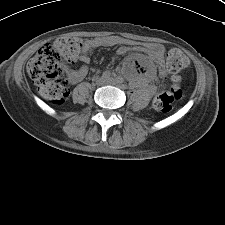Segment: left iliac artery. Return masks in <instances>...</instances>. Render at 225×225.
Returning <instances> with one entry per match:
<instances>
[{
    "label": "left iliac artery",
    "instance_id": "obj_1",
    "mask_svg": "<svg viewBox=\"0 0 225 225\" xmlns=\"http://www.w3.org/2000/svg\"><path fill=\"white\" fill-rule=\"evenodd\" d=\"M116 79L119 84H122L124 82V79L120 76H118Z\"/></svg>",
    "mask_w": 225,
    "mask_h": 225
}]
</instances>
